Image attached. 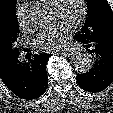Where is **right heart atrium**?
<instances>
[{
  "label": "right heart atrium",
  "instance_id": "right-heart-atrium-1",
  "mask_svg": "<svg viewBox=\"0 0 113 113\" xmlns=\"http://www.w3.org/2000/svg\"><path fill=\"white\" fill-rule=\"evenodd\" d=\"M15 19L21 30L30 28L29 8L25 0H18L15 6Z\"/></svg>",
  "mask_w": 113,
  "mask_h": 113
}]
</instances>
